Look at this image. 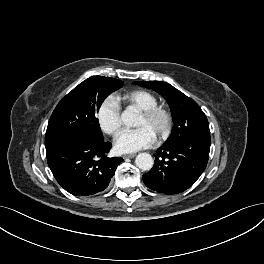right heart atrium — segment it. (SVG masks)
Returning a JSON list of instances; mask_svg holds the SVG:
<instances>
[{
  "mask_svg": "<svg viewBox=\"0 0 264 264\" xmlns=\"http://www.w3.org/2000/svg\"><path fill=\"white\" fill-rule=\"evenodd\" d=\"M96 119L101 130L116 135L121 128V108L113 96L106 97L98 106Z\"/></svg>",
  "mask_w": 264,
  "mask_h": 264,
  "instance_id": "d8ad5b80",
  "label": "right heart atrium"
}]
</instances>
